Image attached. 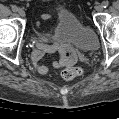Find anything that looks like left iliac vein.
Here are the masks:
<instances>
[{"label": "left iliac vein", "instance_id": "4c4485c4", "mask_svg": "<svg viewBox=\"0 0 119 119\" xmlns=\"http://www.w3.org/2000/svg\"><path fill=\"white\" fill-rule=\"evenodd\" d=\"M95 9L97 12H101L103 10V6L99 4L95 7Z\"/></svg>", "mask_w": 119, "mask_h": 119}]
</instances>
